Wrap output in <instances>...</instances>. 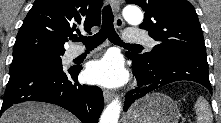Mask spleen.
I'll list each match as a JSON object with an SVG mask.
<instances>
[{
	"label": "spleen",
	"instance_id": "1",
	"mask_svg": "<svg viewBox=\"0 0 221 123\" xmlns=\"http://www.w3.org/2000/svg\"><path fill=\"white\" fill-rule=\"evenodd\" d=\"M197 123H212L213 115L207 100L200 96L195 103Z\"/></svg>",
	"mask_w": 221,
	"mask_h": 123
}]
</instances>
